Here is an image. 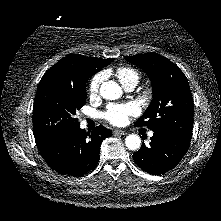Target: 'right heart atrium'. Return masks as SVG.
Listing matches in <instances>:
<instances>
[{
  "label": "right heart atrium",
  "mask_w": 221,
  "mask_h": 221,
  "mask_svg": "<svg viewBox=\"0 0 221 221\" xmlns=\"http://www.w3.org/2000/svg\"><path fill=\"white\" fill-rule=\"evenodd\" d=\"M103 80H104V74L102 72L95 74L91 78V80L89 82V86H88V90L91 95L98 94Z\"/></svg>",
  "instance_id": "1"
}]
</instances>
